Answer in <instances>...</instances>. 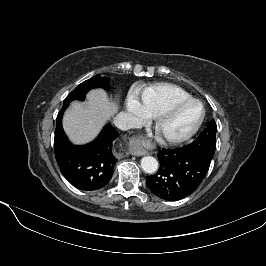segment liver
Listing matches in <instances>:
<instances>
[{"instance_id":"obj_1","label":"liver","mask_w":266,"mask_h":266,"mask_svg":"<svg viewBox=\"0 0 266 266\" xmlns=\"http://www.w3.org/2000/svg\"><path fill=\"white\" fill-rule=\"evenodd\" d=\"M117 111V103L110 100L104 90L93 89L87 94L86 103L75 101L71 104L65 112L63 127L73 143H87Z\"/></svg>"}]
</instances>
